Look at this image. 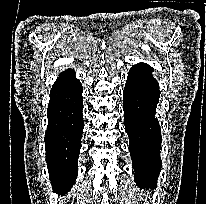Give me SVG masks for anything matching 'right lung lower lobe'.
<instances>
[{"mask_svg":"<svg viewBox=\"0 0 206 204\" xmlns=\"http://www.w3.org/2000/svg\"><path fill=\"white\" fill-rule=\"evenodd\" d=\"M82 85L73 70L62 72L50 92L45 133L46 162L54 192L64 194L78 172V156L84 128Z\"/></svg>","mask_w":206,"mask_h":204,"instance_id":"right-lung-lower-lobe-1","label":"right lung lower lobe"}]
</instances>
